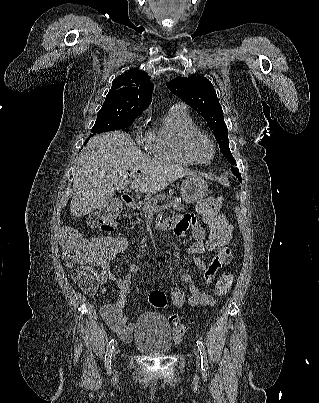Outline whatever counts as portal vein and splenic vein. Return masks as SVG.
I'll use <instances>...</instances> for the list:
<instances>
[{
    "instance_id": "1",
    "label": "portal vein and splenic vein",
    "mask_w": 319,
    "mask_h": 403,
    "mask_svg": "<svg viewBox=\"0 0 319 403\" xmlns=\"http://www.w3.org/2000/svg\"><path fill=\"white\" fill-rule=\"evenodd\" d=\"M170 207H172V204L167 203V204H164L162 206H155L154 211H160V210H163V209H168Z\"/></svg>"
}]
</instances>
